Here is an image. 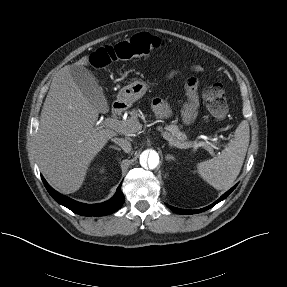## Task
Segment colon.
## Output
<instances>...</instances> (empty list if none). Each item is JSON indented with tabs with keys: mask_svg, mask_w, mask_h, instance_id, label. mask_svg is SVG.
<instances>
[{
	"mask_svg": "<svg viewBox=\"0 0 287 287\" xmlns=\"http://www.w3.org/2000/svg\"><path fill=\"white\" fill-rule=\"evenodd\" d=\"M162 45L159 38L149 33H138L114 45L99 48L91 56V63L97 68H104L114 62L142 57L158 50ZM204 99L210 113L223 119L228 113V105L222 85L213 83L204 91Z\"/></svg>",
	"mask_w": 287,
	"mask_h": 287,
	"instance_id": "colon-1",
	"label": "colon"
}]
</instances>
